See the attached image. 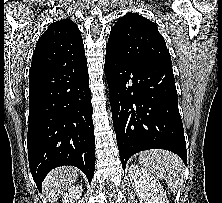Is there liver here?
I'll use <instances>...</instances> for the list:
<instances>
[{"label":"liver","mask_w":222,"mask_h":203,"mask_svg":"<svg viewBox=\"0 0 222 203\" xmlns=\"http://www.w3.org/2000/svg\"><path fill=\"white\" fill-rule=\"evenodd\" d=\"M78 177L75 167L64 166L52 170L42 183L43 193L54 203L73 184Z\"/></svg>","instance_id":"liver-1"}]
</instances>
